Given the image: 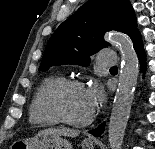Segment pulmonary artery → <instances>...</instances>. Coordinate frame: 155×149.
Returning <instances> with one entry per match:
<instances>
[{"label":"pulmonary artery","mask_w":155,"mask_h":149,"mask_svg":"<svg viewBox=\"0 0 155 149\" xmlns=\"http://www.w3.org/2000/svg\"><path fill=\"white\" fill-rule=\"evenodd\" d=\"M118 61L116 53L109 49H104L99 52L98 63L101 66L115 65Z\"/></svg>","instance_id":"e3ab8cb5"}]
</instances>
